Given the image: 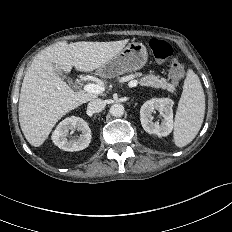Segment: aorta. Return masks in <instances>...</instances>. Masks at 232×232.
<instances>
[{"label":"aorta","instance_id":"762f6f07","mask_svg":"<svg viewBox=\"0 0 232 232\" xmlns=\"http://www.w3.org/2000/svg\"><path fill=\"white\" fill-rule=\"evenodd\" d=\"M124 111H125L124 106L122 104H120V103L113 104L110 107V113L114 117H121V116H123Z\"/></svg>","mask_w":232,"mask_h":232}]
</instances>
